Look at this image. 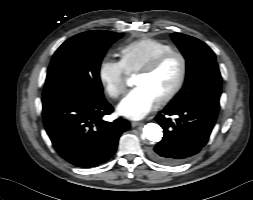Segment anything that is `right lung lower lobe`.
Here are the masks:
<instances>
[{"label":"right lung lower lobe","instance_id":"98d812e1","mask_svg":"<svg viewBox=\"0 0 253 200\" xmlns=\"http://www.w3.org/2000/svg\"><path fill=\"white\" fill-rule=\"evenodd\" d=\"M43 121L59 155L77 167H94L109 160L120 135L130 128L128 121L102 120L113 107L101 100L73 97L43 98Z\"/></svg>","mask_w":253,"mask_h":200}]
</instances>
